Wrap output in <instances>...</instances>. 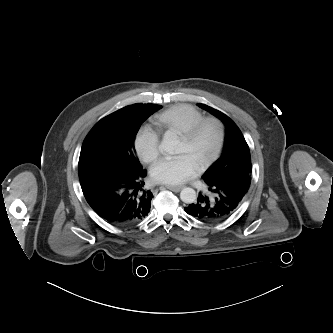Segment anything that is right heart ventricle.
<instances>
[{"instance_id": "right-heart-ventricle-1", "label": "right heart ventricle", "mask_w": 333, "mask_h": 333, "mask_svg": "<svg viewBox=\"0 0 333 333\" xmlns=\"http://www.w3.org/2000/svg\"><path fill=\"white\" fill-rule=\"evenodd\" d=\"M204 118L203 113L191 105H175L154 119V127L162 133L174 132L181 135Z\"/></svg>"}]
</instances>
